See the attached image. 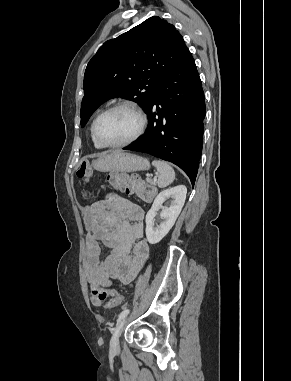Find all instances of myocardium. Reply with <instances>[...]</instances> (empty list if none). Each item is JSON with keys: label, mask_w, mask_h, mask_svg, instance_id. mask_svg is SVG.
I'll use <instances>...</instances> for the list:
<instances>
[{"label": "myocardium", "mask_w": 291, "mask_h": 381, "mask_svg": "<svg viewBox=\"0 0 291 381\" xmlns=\"http://www.w3.org/2000/svg\"><path fill=\"white\" fill-rule=\"evenodd\" d=\"M120 108H128V109H131L132 111H134L136 113V115L139 118L138 129L130 138H128L122 142H119V143L106 142L99 134V130H98L99 123L102 120V118L105 117L107 114L111 113L114 110L120 109ZM146 126H147V118H146L144 111L137 104H135L133 102L122 101V102H118V103L108 107L107 109L103 110L101 113H99L97 115V117L95 118V120L93 122V134H94L95 139L102 146L111 147V148H118V147L127 146V145L135 142L136 140H138L143 135V133L146 129Z\"/></svg>", "instance_id": "1"}]
</instances>
